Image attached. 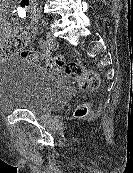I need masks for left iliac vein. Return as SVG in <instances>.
I'll list each match as a JSON object with an SVG mask.
<instances>
[{"mask_svg": "<svg viewBox=\"0 0 133 173\" xmlns=\"http://www.w3.org/2000/svg\"><path fill=\"white\" fill-rule=\"evenodd\" d=\"M58 45V42L56 40V38L54 37V35L51 32H48L46 34V46H48L51 49L56 48Z\"/></svg>", "mask_w": 133, "mask_h": 173, "instance_id": "1", "label": "left iliac vein"}]
</instances>
